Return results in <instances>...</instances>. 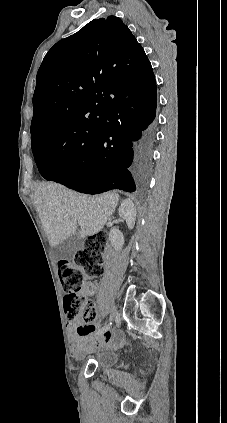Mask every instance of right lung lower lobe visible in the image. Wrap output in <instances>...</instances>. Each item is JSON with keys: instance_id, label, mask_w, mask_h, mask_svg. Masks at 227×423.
<instances>
[{"instance_id": "1", "label": "right lung lower lobe", "mask_w": 227, "mask_h": 423, "mask_svg": "<svg viewBox=\"0 0 227 423\" xmlns=\"http://www.w3.org/2000/svg\"><path fill=\"white\" fill-rule=\"evenodd\" d=\"M157 94L131 96L108 108V122L95 138L94 148L75 169L55 182L81 193L111 189L134 192L145 184L151 165Z\"/></svg>"}]
</instances>
